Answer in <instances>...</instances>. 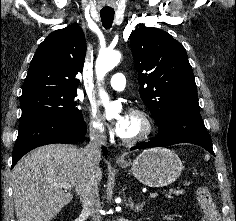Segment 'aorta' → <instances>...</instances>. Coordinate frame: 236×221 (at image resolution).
Here are the masks:
<instances>
[{
	"label": "aorta",
	"mask_w": 236,
	"mask_h": 221,
	"mask_svg": "<svg viewBox=\"0 0 236 221\" xmlns=\"http://www.w3.org/2000/svg\"><path fill=\"white\" fill-rule=\"evenodd\" d=\"M121 59V54L117 51H106L99 54L96 60V75L100 81L103 77L111 71ZM100 98L105 107V114L107 118L116 117L121 112V104L118 102H111L108 94L100 90Z\"/></svg>",
	"instance_id": "aorta-1"
}]
</instances>
